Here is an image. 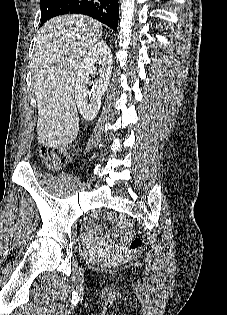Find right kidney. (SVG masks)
Listing matches in <instances>:
<instances>
[{
  "label": "right kidney",
  "instance_id": "ca27d5eb",
  "mask_svg": "<svg viewBox=\"0 0 227 315\" xmlns=\"http://www.w3.org/2000/svg\"><path fill=\"white\" fill-rule=\"evenodd\" d=\"M95 64L101 66L98 70L99 78L93 83L92 91H89L88 86L91 85L90 74H95L97 71ZM111 74V50L106 41L102 40L88 50L77 73L75 99L77 107L86 121H92L96 118L101 107L102 96L108 89Z\"/></svg>",
  "mask_w": 227,
  "mask_h": 315
}]
</instances>
